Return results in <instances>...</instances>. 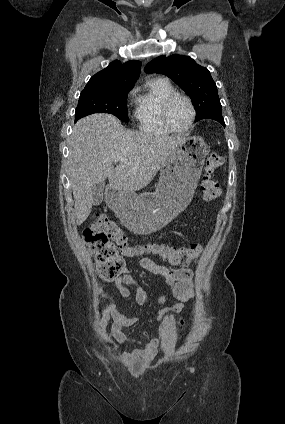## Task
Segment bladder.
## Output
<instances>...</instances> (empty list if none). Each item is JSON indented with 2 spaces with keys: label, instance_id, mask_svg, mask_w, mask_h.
I'll use <instances>...</instances> for the list:
<instances>
[{
  "label": "bladder",
  "instance_id": "obj_1",
  "mask_svg": "<svg viewBox=\"0 0 285 424\" xmlns=\"http://www.w3.org/2000/svg\"><path fill=\"white\" fill-rule=\"evenodd\" d=\"M146 362L147 360L144 357H137L132 363V368L137 369L144 365Z\"/></svg>",
  "mask_w": 285,
  "mask_h": 424
}]
</instances>
